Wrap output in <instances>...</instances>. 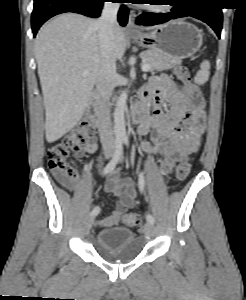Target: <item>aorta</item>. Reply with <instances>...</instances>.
Returning <instances> with one entry per match:
<instances>
[{"label": "aorta", "instance_id": "aorta-1", "mask_svg": "<svg viewBox=\"0 0 246 300\" xmlns=\"http://www.w3.org/2000/svg\"><path fill=\"white\" fill-rule=\"evenodd\" d=\"M128 99L126 90L122 91L117 99L116 107L114 110V134L117 139H126V126H125V110Z\"/></svg>", "mask_w": 246, "mask_h": 300}]
</instances>
